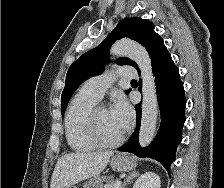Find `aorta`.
Segmentation results:
<instances>
[{
    "mask_svg": "<svg viewBox=\"0 0 224 188\" xmlns=\"http://www.w3.org/2000/svg\"><path fill=\"white\" fill-rule=\"evenodd\" d=\"M111 53L129 57L137 63L141 71L143 100L139 145L146 147L153 140L158 115V101L151 59L144 47L129 39L117 41L112 46Z\"/></svg>",
    "mask_w": 224,
    "mask_h": 188,
    "instance_id": "1",
    "label": "aorta"
}]
</instances>
